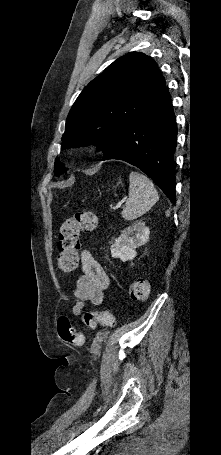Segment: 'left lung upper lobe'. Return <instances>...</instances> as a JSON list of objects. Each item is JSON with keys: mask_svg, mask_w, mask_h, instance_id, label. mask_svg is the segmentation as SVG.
Wrapping results in <instances>:
<instances>
[{"mask_svg": "<svg viewBox=\"0 0 221 455\" xmlns=\"http://www.w3.org/2000/svg\"><path fill=\"white\" fill-rule=\"evenodd\" d=\"M166 91L158 65L143 53H128L92 80L73 104L61 149L95 143L103 153L126 126ZM66 168L56 159L54 174Z\"/></svg>", "mask_w": 221, "mask_h": 455, "instance_id": "left-lung-upper-lobe-1", "label": "left lung upper lobe"}]
</instances>
